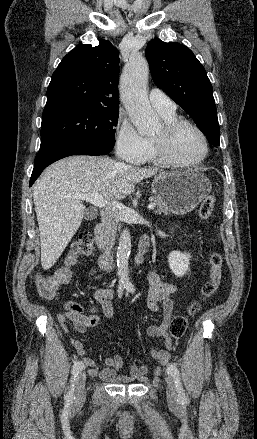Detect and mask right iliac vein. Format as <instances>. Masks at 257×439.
Listing matches in <instances>:
<instances>
[{
	"instance_id": "63e3f726",
	"label": "right iliac vein",
	"mask_w": 257,
	"mask_h": 439,
	"mask_svg": "<svg viewBox=\"0 0 257 439\" xmlns=\"http://www.w3.org/2000/svg\"><path fill=\"white\" fill-rule=\"evenodd\" d=\"M85 381H86V373L82 371L78 374L75 382V399L77 401H83L85 399L86 396Z\"/></svg>"
}]
</instances>
